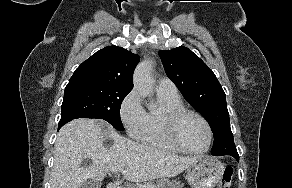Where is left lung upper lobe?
<instances>
[{
    "label": "left lung upper lobe",
    "instance_id": "left-lung-upper-lobe-1",
    "mask_svg": "<svg viewBox=\"0 0 292 188\" xmlns=\"http://www.w3.org/2000/svg\"><path fill=\"white\" fill-rule=\"evenodd\" d=\"M159 55L167 76L209 123L214 134L212 155L236 150L225 93L212 70L186 47L161 50Z\"/></svg>",
    "mask_w": 292,
    "mask_h": 188
}]
</instances>
